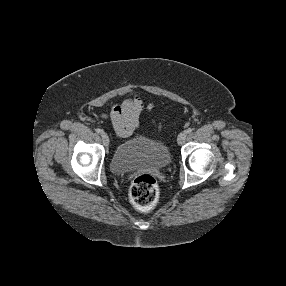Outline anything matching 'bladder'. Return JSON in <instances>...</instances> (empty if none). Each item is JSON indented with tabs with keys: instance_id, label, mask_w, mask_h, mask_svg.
Wrapping results in <instances>:
<instances>
[{
	"instance_id": "31cf9c89",
	"label": "bladder",
	"mask_w": 286,
	"mask_h": 286,
	"mask_svg": "<svg viewBox=\"0 0 286 286\" xmlns=\"http://www.w3.org/2000/svg\"><path fill=\"white\" fill-rule=\"evenodd\" d=\"M171 163V154L164 141L144 133L120 142L111 157V170L123 174L140 168L165 169Z\"/></svg>"
}]
</instances>
